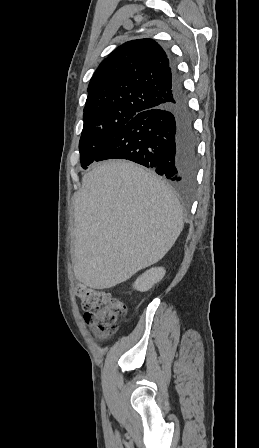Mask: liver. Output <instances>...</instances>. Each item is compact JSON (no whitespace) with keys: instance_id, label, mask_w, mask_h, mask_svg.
<instances>
[{"instance_id":"liver-1","label":"liver","mask_w":259,"mask_h":448,"mask_svg":"<svg viewBox=\"0 0 259 448\" xmlns=\"http://www.w3.org/2000/svg\"><path fill=\"white\" fill-rule=\"evenodd\" d=\"M74 226V276L104 290L159 262L184 224L173 190L160 178L128 160H108L84 174Z\"/></svg>"}]
</instances>
